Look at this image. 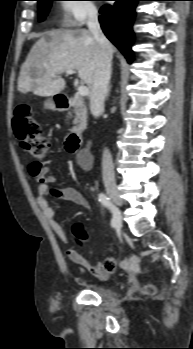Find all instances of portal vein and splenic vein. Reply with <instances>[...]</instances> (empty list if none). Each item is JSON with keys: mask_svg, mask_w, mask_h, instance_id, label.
<instances>
[{"mask_svg": "<svg viewBox=\"0 0 193 349\" xmlns=\"http://www.w3.org/2000/svg\"><path fill=\"white\" fill-rule=\"evenodd\" d=\"M74 73H75V70H73V69L66 70V74L67 75H71V74H74ZM88 93H89V89L86 86L80 85L78 87V94L79 95L86 96V95H88Z\"/></svg>", "mask_w": 193, "mask_h": 349, "instance_id": "1", "label": "portal vein and splenic vein"}]
</instances>
